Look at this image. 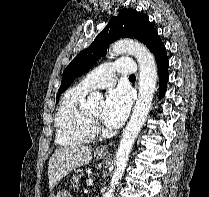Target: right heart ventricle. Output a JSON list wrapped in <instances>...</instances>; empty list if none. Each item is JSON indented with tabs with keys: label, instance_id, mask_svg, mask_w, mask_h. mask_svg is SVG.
I'll return each instance as SVG.
<instances>
[{
	"label": "right heart ventricle",
	"instance_id": "obj_1",
	"mask_svg": "<svg viewBox=\"0 0 209 197\" xmlns=\"http://www.w3.org/2000/svg\"><path fill=\"white\" fill-rule=\"evenodd\" d=\"M88 92L89 89L79 84L63 95L55 115L58 145L73 147L93 140L94 132L90 129L84 105Z\"/></svg>",
	"mask_w": 209,
	"mask_h": 197
}]
</instances>
